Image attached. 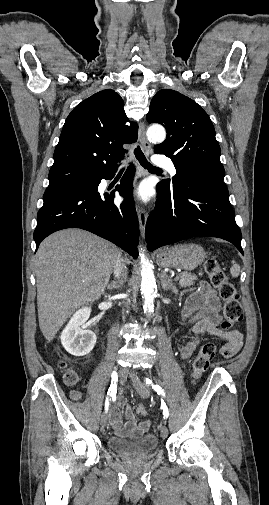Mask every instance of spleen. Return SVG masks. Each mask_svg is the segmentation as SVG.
Segmentation results:
<instances>
[{
    "label": "spleen",
    "mask_w": 269,
    "mask_h": 505,
    "mask_svg": "<svg viewBox=\"0 0 269 505\" xmlns=\"http://www.w3.org/2000/svg\"><path fill=\"white\" fill-rule=\"evenodd\" d=\"M230 273H231L232 277H238L239 273H240V266L234 260L232 261Z\"/></svg>",
    "instance_id": "spleen-1"
}]
</instances>
